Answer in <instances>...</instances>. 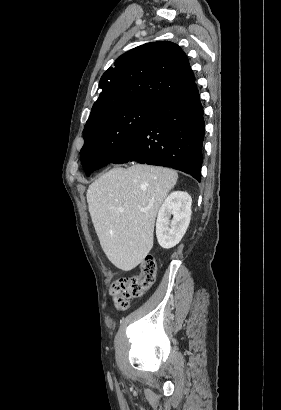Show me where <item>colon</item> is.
I'll use <instances>...</instances> for the list:
<instances>
[{"mask_svg":"<svg viewBox=\"0 0 281 410\" xmlns=\"http://www.w3.org/2000/svg\"><path fill=\"white\" fill-rule=\"evenodd\" d=\"M157 265L151 255H147L138 275L124 276L118 278L111 286L110 293L115 306L119 310H125L129 306L131 299L143 296L155 282Z\"/></svg>","mask_w":281,"mask_h":410,"instance_id":"5ec220e1","label":"colon"}]
</instances>
